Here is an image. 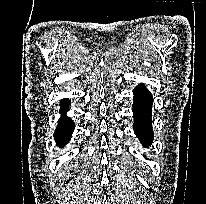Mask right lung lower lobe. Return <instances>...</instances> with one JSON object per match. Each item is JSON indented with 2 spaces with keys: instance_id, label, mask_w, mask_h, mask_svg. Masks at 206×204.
<instances>
[{
  "instance_id": "right-lung-lower-lobe-1",
  "label": "right lung lower lobe",
  "mask_w": 206,
  "mask_h": 204,
  "mask_svg": "<svg viewBox=\"0 0 206 204\" xmlns=\"http://www.w3.org/2000/svg\"><path fill=\"white\" fill-rule=\"evenodd\" d=\"M60 104L62 107L61 114H65L69 108V100H61ZM73 130L74 123L72 120L65 115L61 116L59 119V125L54 133L56 144L61 147L67 144L72 136Z\"/></svg>"
}]
</instances>
